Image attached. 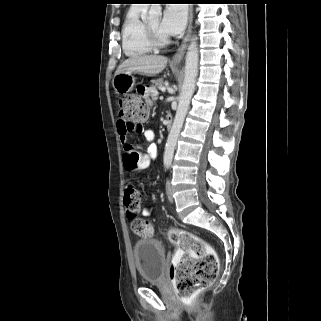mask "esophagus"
Here are the masks:
<instances>
[{
	"label": "esophagus",
	"mask_w": 321,
	"mask_h": 321,
	"mask_svg": "<svg viewBox=\"0 0 321 321\" xmlns=\"http://www.w3.org/2000/svg\"><path fill=\"white\" fill-rule=\"evenodd\" d=\"M192 16H193L192 7L190 6V8H189V24H188L187 33H186L181 45L179 46V48L177 49L176 53L172 57V61L173 62H180L184 57L186 48L188 46L190 34H191Z\"/></svg>",
	"instance_id": "34e87169"
}]
</instances>
